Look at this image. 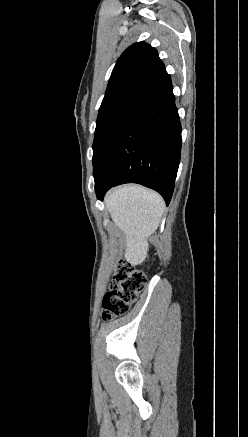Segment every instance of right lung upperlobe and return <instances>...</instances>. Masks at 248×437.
I'll use <instances>...</instances> for the list:
<instances>
[{"mask_svg": "<svg viewBox=\"0 0 248 437\" xmlns=\"http://www.w3.org/2000/svg\"><path fill=\"white\" fill-rule=\"evenodd\" d=\"M164 70L165 66L153 47L145 42L131 45L114 66L102 104L127 92H141Z\"/></svg>", "mask_w": 248, "mask_h": 437, "instance_id": "cb5924a9", "label": "right lung upper lobe"}]
</instances>
